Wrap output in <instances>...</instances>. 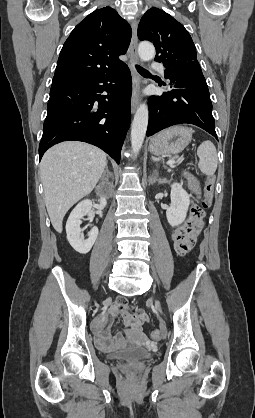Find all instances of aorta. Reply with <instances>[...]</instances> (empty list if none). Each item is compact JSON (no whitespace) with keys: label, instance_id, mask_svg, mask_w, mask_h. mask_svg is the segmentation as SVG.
Here are the masks:
<instances>
[{"label":"aorta","instance_id":"762f6f07","mask_svg":"<svg viewBox=\"0 0 255 418\" xmlns=\"http://www.w3.org/2000/svg\"><path fill=\"white\" fill-rule=\"evenodd\" d=\"M138 53L143 61L152 60L155 56V48L149 42H141L138 47ZM148 107L145 103L140 104L134 116L131 127V147L134 154L139 153L148 126Z\"/></svg>","mask_w":255,"mask_h":418}]
</instances>
